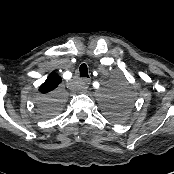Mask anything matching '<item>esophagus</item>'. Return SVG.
I'll list each match as a JSON object with an SVG mask.
<instances>
[{"label": "esophagus", "instance_id": "esophagus-1", "mask_svg": "<svg viewBox=\"0 0 174 174\" xmlns=\"http://www.w3.org/2000/svg\"><path fill=\"white\" fill-rule=\"evenodd\" d=\"M90 83H91V80L88 78H83L81 80V86L83 89H87L89 87Z\"/></svg>", "mask_w": 174, "mask_h": 174}]
</instances>
